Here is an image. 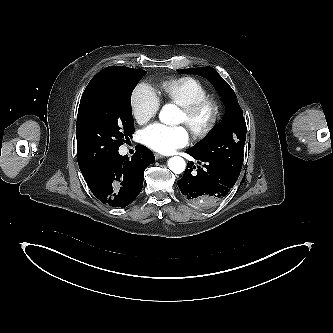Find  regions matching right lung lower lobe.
I'll list each match as a JSON object with an SVG mask.
<instances>
[{
  "instance_id": "obj_1",
  "label": "right lung lower lobe",
  "mask_w": 333,
  "mask_h": 333,
  "mask_svg": "<svg viewBox=\"0 0 333 333\" xmlns=\"http://www.w3.org/2000/svg\"><path fill=\"white\" fill-rule=\"evenodd\" d=\"M155 160L153 153L138 145L129 159L118 152L97 166L82 173L96 198L112 207H126L140 193L144 170Z\"/></svg>"
}]
</instances>
